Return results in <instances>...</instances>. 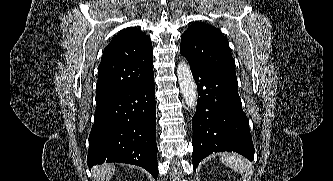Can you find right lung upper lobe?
<instances>
[{
  "label": "right lung upper lobe",
  "instance_id": "1",
  "mask_svg": "<svg viewBox=\"0 0 333 181\" xmlns=\"http://www.w3.org/2000/svg\"><path fill=\"white\" fill-rule=\"evenodd\" d=\"M151 40L130 27L120 31L105 48L98 67L96 103L153 78Z\"/></svg>",
  "mask_w": 333,
  "mask_h": 181
}]
</instances>
